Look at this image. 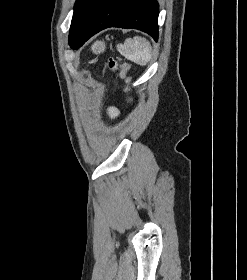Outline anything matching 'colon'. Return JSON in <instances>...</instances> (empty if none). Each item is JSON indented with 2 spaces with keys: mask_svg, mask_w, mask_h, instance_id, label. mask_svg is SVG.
I'll list each match as a JSON object with an SVG mask.
<instances>
[{
  "mask_svg": "<svg viewBox=\"0 0 247 280\" xmlns=\"http://www.w3.org/2000/svg\"><path fill=\"white\" fill-rule=\"evenodd\" d=\"M107 67L112 70H119L120 71V75L126 79V81H130V78L128 77L127 73L129 71V65L128 64H123V65H119L115 60L110 59V61L107 64Z\"/></svg>",
  "mask_w": 247,
  "mask_h": 280,
  "instance_id": "1",
  "label": "colon"
}]
</instances>
